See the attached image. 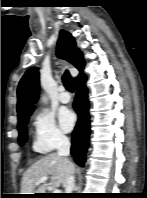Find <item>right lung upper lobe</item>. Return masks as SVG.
Segmentation results:
<instances>
[{
    "label": "right lung upper lobe",
    "mask_w": 147,
    "mask_h": 198,
    "mask_svg": "<svg viewBox=\"0 0 147 198\" xmlns=\"http://www.w3.org/2000/svg\"><path fill=\"white\" fill-rule=\"evenodd\" d=\"M57 55L72 63L81 72L80 75H82L85 64L82 53L76 48V43L72 35L65 30L60 31L57 43ZM38 95L39 72L38 68L34 67L24 74L18 85L17 112L19 122L32 114L35 108L34 104L38 100Z\"/></svg>",
    "instance_id": "obj_1"
}]
</instances>
